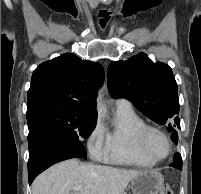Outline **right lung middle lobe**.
Here are the masks:
<instances>
[{"mask_svg": "<svg viewBox=\"0 0 201 194\" xmlns=\"http://www.w3.org/2000/svg\"><path fill=\"white\" fill-rule=\"evenodd\" d=\"M26 116L29 129L46 124L78 140L86 139L91 134L97 120V117L76 113L65 103L55 100L27 104ZM78 157L86 159V152Z\"/></svg>", "mask_w": 201, "mask_h": 194, "instance_id": "right-lung-middle-lobe-1", "label": "right lung middle lobe"}]
</instances>
